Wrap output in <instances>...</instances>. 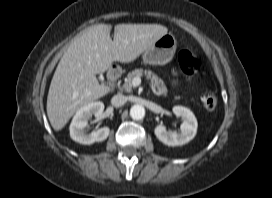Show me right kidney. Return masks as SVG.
<instances>
[{
  "mask_svg": "<svg viewBox=\"0 0 272 198\" xmlns=\"http://www.w3.org/2000/svg\"><path fill=\"white\" fill-rule=\"evenodd\" d=\"M104 110V104L100 101L91 102L81 107L75 114L70 124V137L85 145H90L95 142H102L107 139L110 129L109 127H103L97 131H93L87 134L84 128L88 125V120L94 115L100 116Z\"/></svg>",
  "mask_w": 272,
  "mask_h": 198,
  "instance_id": "obj_1",
  "label": "right kidney"
}]
</instances>
